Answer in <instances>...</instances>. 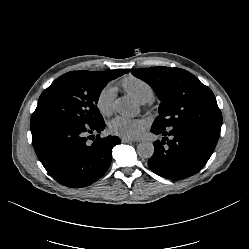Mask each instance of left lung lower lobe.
Instances as JSON below:
<instances>
[{
    "instance_id": "0a47b994",
    "label": "left lung lower lobe",
    "mask_w": 249,
    "mask_h": 249,
    "mask_svg": "<svg viewBox=\"0 0 249 249\" xmlns=\"http://www.w3.org/2000/svg\"><path fill=\"white\" fill-rule=\"evenodd\" d=\"M220 130L221 125L209 123H184L170 128L152 125L151 132L163 138L153 142L149 168L170 180L196 174L212 155Z\"/></svg>"
}]
</instances>
